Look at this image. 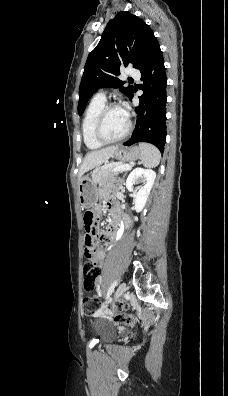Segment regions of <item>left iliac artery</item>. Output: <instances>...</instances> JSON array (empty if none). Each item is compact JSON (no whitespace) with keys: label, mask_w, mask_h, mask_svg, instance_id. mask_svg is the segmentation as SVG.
<instances>
[{"label":"left iliac artery","mask_w":228,"mask_h":396,"mask_svg":"<svg viewBox=\"0 0 228 396\" xmlns=\"http://www.w3.org/2000/svg\"><path fill=\"white\" fill-rule=\"evenodd\" d=\"M116 285H117V281L115 280V281L111 284V286H110V288H109V290H108V292H107L106 299H108V298L110 297V295H111L112 292L114 291V288H115Z\"/></svg>","instance_id":"obj_1"}]
</instances>
